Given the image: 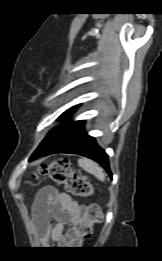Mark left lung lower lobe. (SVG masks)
I'll return each instance as SVG.
<instances>
[{
  "mask_svg": "<svg viewBox=\"0 0 162 261\" xmlns=\"http://www.w3.org/2000/svg\"><path fill=\"white\" fill-rule=\"evenodd\" d=\"M55 153H71L88 157L98 162L112 178L108 155L105 153L104 149L98 146L95 139L85 132L84 125L78 127L76 130L60 140L43 156Z\"/></svg>",
  "mask_w": 162,
  "mask_h": 261,
  "instance_id": "obj_1",
  "label": "left lung lower lobe"
}]
</instances>
